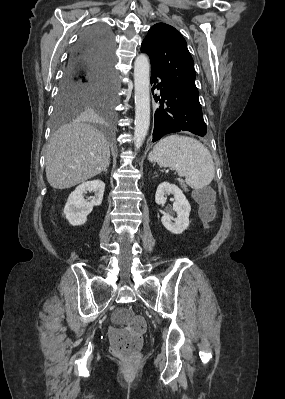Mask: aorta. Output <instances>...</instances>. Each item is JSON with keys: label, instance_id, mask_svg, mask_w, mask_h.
Returning a JSON list of instances; mask_svg holds the SVG:
<instances>
[{"label": "aorta", "instance_id": "762f6f07", "mask_svg": "<svg viewBox=\"0 0 285 399\" xmlns=\"http://www.w3.org/2000/svg\"><path fill=\"white\" fill-rule=\"evenodd\" d=\"M135 85V128L134 146L139 150L150 125V62L145 54H140L134 63Z\"/></svg>", "mask_w": 285, "mask_h": 399}]
</instances>
